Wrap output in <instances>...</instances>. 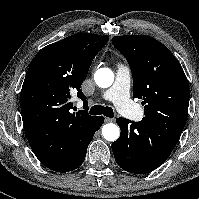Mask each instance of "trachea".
Here are the masks:
<instances>
[{"label": "trachea", "mask_w": 199, "mask_h": 199, "mask_svg": "<svg viewBox=\"0 0 199 199\" xmlns=\"http://www.w3.org/2000/svg\"><path fill=\"white\" fill-rule=\"evenodd\" d=\"M90 114L91 115H101L103 114L106 117H114V112L113 109L111 107H104L102 105H94L91 109H90Z\"/></svg>", "instance_id": "trachea-1"}]
</instances>
